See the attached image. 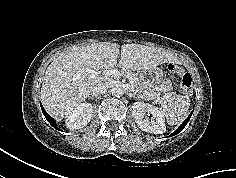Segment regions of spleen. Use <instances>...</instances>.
Wrapping results in <instances>:
<instances>
[{
  "mask_svg": "<svg viewBox=\"0 0 236 178\" xmlns=\"http://www.w3.org/2000/svg\"><path fill=\"white\" fill-rule=\"evenodd\" d=\"M161 107L168 124L176 125L185 119L190 107V98L174 92H166L163 95Z\"/></svg>",
  "mask_w": 236,
  "mask_h": 178,
  "instance_id": "1",
  "label": "spleen"
}]
</instances>
